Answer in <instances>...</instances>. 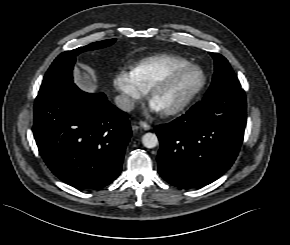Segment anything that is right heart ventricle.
I'll use <instances>...</instances> for the list:
<instances>
[{"label": "right heart ventricle", "instance_id": "1", "mask_svg": "<svg viewBox=\"0 0 290 245\" xmlns=\"http://www.w3.org/2000/svg\"><path fill=\"white\" fill-rule=\"evenodd\" d=\"M188 64H190L189 61L184 57L163 54L139 62L131 71L138 85L147 91L159 76Z\"/></svg>", "mask_w": 290, "mask_h": 245}]
</instances>
